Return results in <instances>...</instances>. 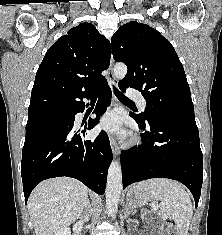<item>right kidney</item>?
Masks as SVG:
<instances>
[{
	"label": "right kidney",
	"mask_w": 222,
	"mask_h": 235,
	"mask_svg": "<svg viewBox=\"0 0 222 235\" xmlns=\"http://www.w3.org/2000/svg\"><path fill=\"white\" fill-rule=\"evenodd\" d=\"M55 235H71V230L69 227H64L59 230Z\"/></svg>",
	"instance_id": "obj_1"
}]
</instances>
